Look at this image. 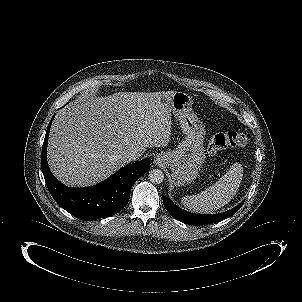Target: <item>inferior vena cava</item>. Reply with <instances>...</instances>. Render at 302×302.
<instances>
[{"label":"inferior vena cava","mask_w":302,"mask_h":302,"mask_svg":"<svg viewBox=\"0 0 302 302\" xmlns=\"http://www.w3.org/2000/svg\"><path fill=\"white\" fill-rule=\"evenodd\" d=\"M141 155L142 154L139 153L137 150H131L124 155V159L126 160L127 163H129V162L136 161L141 157Z\"/></svg>","instance_id":"obj_1"}]
</instances>
